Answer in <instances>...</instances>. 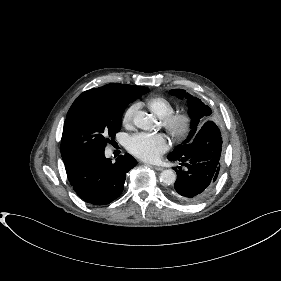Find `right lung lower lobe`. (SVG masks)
Masks as SVG:
<instances>
[{
	"label": "right lung lower lobe",
	"instance_id": "1",
	"mask_svg": "<svg viewBox=\"0 0 281 281\" xmlns=\"http://www.w3.org/2000/svg\"><path fill=\"white\" fill-rule=\"evenodd\" d=\"M136 165L137 161L128 153L112 163L101 151L85 154L65 168L70 184L82 200L104 205L120 196L127 172Z\"/></svg>",
	"mask_w": 281,
	"mask_h": 281
}]
</instances>
